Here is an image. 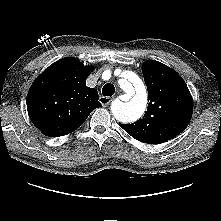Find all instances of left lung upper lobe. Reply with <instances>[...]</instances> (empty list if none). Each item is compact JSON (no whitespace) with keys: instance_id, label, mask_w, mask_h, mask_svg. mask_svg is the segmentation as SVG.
<instances>
[{"instance_id":"1","label":"left lung upper lobe","mask_w":221,"mask_h":221,"mask_svg":"<svg viewBox=\"0 0 221 221\" xmlns=\"http://www.w3.org/2000/svg\"><path fill=\"white\" fill-rule=\"evenodd\" d=\"M142 72L148 109L142 119L120 126L138 141L160 144L185 130L192 117L193 100L182 77L168 66L149 60Z\"/></svg>"}]
</instances>
